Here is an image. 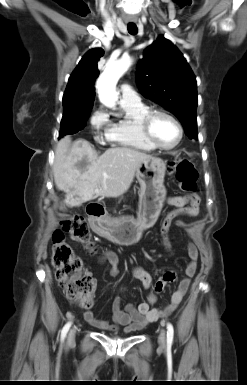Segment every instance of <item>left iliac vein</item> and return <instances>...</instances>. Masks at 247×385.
Here are the masks:
<instances>
[{
    "mask_svg": "<svg viewBox=\"0 0 247 385\" xmlns=\"http://www.w3.org/2000/svg\"><path fill=\"white\" fill-rule=\"evenodd\" d=\"M158 342H159V345L161 347H164L166 345V333H165L164 329L160 330V335H159V338H158Z\"/></svg>",
    "mask_w": 247,
    "mask_h": 385,
    "instance_id": "4c4485c4",
    "label": "left iliac vein"
}]
</instances>
